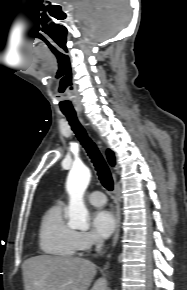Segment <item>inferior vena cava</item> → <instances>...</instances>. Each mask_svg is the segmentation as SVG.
<instances>
[{
    "label": "inferior vena cava",
    "mask_w": 187,
    "mask_h": 290,
    "mask_svg": "<svg viewBox=\"0 0 187 290\" xmlns=\"http://www.w3.org/2000/svg\"><path fill=\"white\" fill-rule=\"evenodd\" d=\"M95 244H96V251L100 252L101 248L103 246V240L101 238H99V237H96L95 238Z\"/></svg>",
    "instance_id": "1"
}]
</instances>
